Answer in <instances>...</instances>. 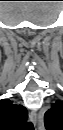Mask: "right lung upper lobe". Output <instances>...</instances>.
Masks as SVG:
<instances>
[{
	"instance_id": "obj_1",
	"label": "right lung upper lobe",
	"mask_w": 63,
	"mask_h": 130,
	"mask_svg": "<svg viewBox=\"0 0 63 130\" xmlns=\"http://www.w3.org/2000/svg\"><path fill=\"white\" fill-rule=\"evenodd\" d=\"M27 118L25 107L13 104L9 99L0 101V123L7 130H22Z\"/></svg>"
}]
</instances>
